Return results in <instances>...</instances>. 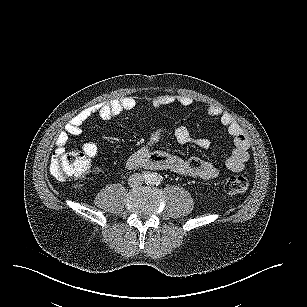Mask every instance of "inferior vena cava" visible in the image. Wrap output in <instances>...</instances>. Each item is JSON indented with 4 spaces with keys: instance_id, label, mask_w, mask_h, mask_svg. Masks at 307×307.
Listing matches in <instances>:
<instances>
[{
    "instance_id": "inferior-vena-cava-1",
    "label": "inferior vena cava",
    "mask_w": 307,
    "mask_h": 307,
    "mask_svg": "<svg viewBox=\"0 0 307 307\" xmlns=\"http://www.w3.org/2000/svg\"><path fill=\"white\" fill-rule=\"evenodd\" d=\"M143 181H144V177L139 173L131 174L128 178V184L132 188L141 186Z\"/></svg>"
}]
</instances>
